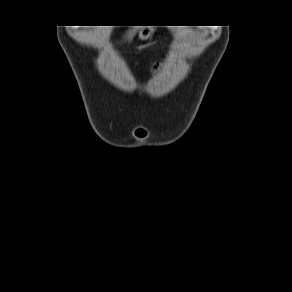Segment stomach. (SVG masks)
Returning <instances> with one entry per match:
<instances>
[{"mask_svg":"<svg viewBox=\"0 0 292 292\" xmlns=\"http://www.w3.org/2000/svg\"><path fill=\"white\" fill-rule=\"evenodd\" d=\"M148 35H149L148 33H146V32L144 33V32H143V33L141 34V38H147Z\"/></svg>","mask_w":292,"mask_h":292,"instance_id":"stomach-1","label":"stomach"}]
</instances>
